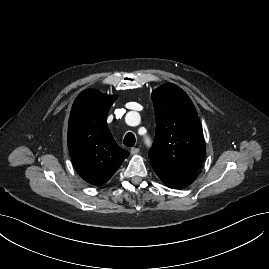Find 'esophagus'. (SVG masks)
I'll list each match as a JSON object with an SVG mask.
<instances>
[{
  "label": "esophagus",
  "mask_w": 269,
  "mask_h": 269,
  "mask_svg": "<svg viewBox=\"0 0 269 269\" xmlns=\"http://www.w3.org/2000/svg\"><path fill=\"white\" fill-rule=\"evenodd\" d=\"M130 152L132 155H137L140 152V149L136 147H132Z\"/></svg>",
  "instance_id": "esophagus-1"
}]
</instances>
